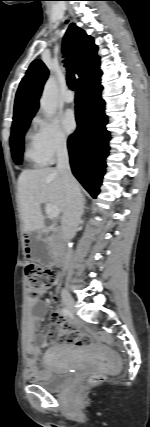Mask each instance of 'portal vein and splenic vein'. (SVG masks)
<instances>
[{
    "label": "portal vein and splenic vein",
    "mask_w": 150,
    "mask_h": 427,
    "mask_svg": "<svg viewBox=\"0 0 150 427\" xmlns=\"http://www.w3.org/2000/svg\"><path fill=\"white\" fill-rule=\"evenodd\" d=\"M45 210L48 216L51 218H56L59 216V209L53 205L46 204Z\"/></svg>",
    "instance_id": "1"
}]
</instances>
